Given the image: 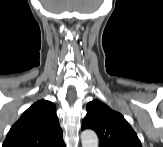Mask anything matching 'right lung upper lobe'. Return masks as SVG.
I'll list each match as a JSON object with an SVG mask.
<instances>
[{
  "label": "right lung upper lobe",
  "instance_id": "obj_1",
  "mask_svg": "<svg viewBox=\"0 0 163 147\" xmlns=\"http://www.w3.org/2000/svg\"><path fill=\"white\" fill-rule=\"evenodd\" d=\"M64 146L56 106L41 100L29 107L11 127L3 147Z\"/></svg>",
  "mask_w": 163,
  "mask_h": 147
}]
</instances>
